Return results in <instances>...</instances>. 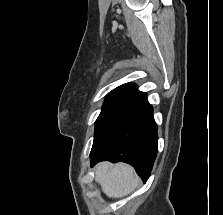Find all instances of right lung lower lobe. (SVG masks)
I'll use <instances>...</instances> for the list:
<instances>
[{
  "label": "right lung lower lobe",
  "mask_w": 223,
  "mask_h": 215,
  "mask_svg": "<svg viewBox=\"0 0 223 215\" xmlns=\"http://www.w3.org/2000/svg\"><path fill=\"white\" fill-rule=\"evenodd\" d=\"M152 112L145 99L124 117L90 153L91 167L106 160L125 162L146 182L157 155V126Z\"/></svg>",
  "instance_id": "1"
}]
</instances>
